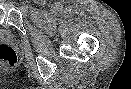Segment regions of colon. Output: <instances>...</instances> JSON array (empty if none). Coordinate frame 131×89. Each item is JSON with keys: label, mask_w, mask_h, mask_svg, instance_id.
Returning a JSON list of instances; mask_svg holds the SVG:
<instances>
[{"label": "colon", "mask_w": 131, "mask_h": 89, "mask_svg": "<svg viewBox=\"0 0 131 89\" xmlns=\"http://www.w3.org/2000/svg\"><path fill=\"white\" fill-rule=\"evenodd\" d=\"M16 60V54L11 47L0 45V66H13Z\"/></svg>", "instance_id": "colon-1"}]
</instances>
